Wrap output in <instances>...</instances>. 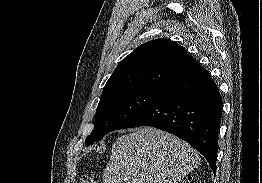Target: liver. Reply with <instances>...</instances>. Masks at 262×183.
<instances>
[{
  "instance_id": "liver-1",
  "label": "liver",
  "mask_w": 262,
  "mask_h": 183,
  "mask_svg": "<svg viewBox=\"0 0 262 183\" xmlns=\"http://www.w3.org/2000/svg\"><path fill=\"white\" fill-rule=\"evenodd\" d=\"M199 164V153L185 141L143 127L115 140L102 183H178Z\"/></svg>"
}]
</instances>
